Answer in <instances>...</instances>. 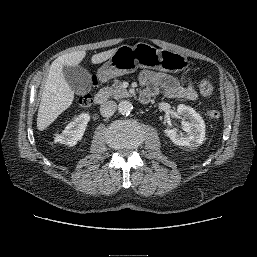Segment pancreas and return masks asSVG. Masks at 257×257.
<instances>
[{
    "label": "pancreas",
    "mask_w": 257,
    "mask_h": 257,
    "mask_svg": "<svg viewBox=\"0 0 257 257\" xmlns=\"http://www.w3.org/2000/svg\"><path fill=\"white\" fill-rule=\"evenodd\" d=\"M102 91L105 92L108 97H112L114 99L125 98L130 96L128 91L125 88H123L122 82L118 79L114 81L111 87H104Z\"/></svg>",
    "instance_id": "pancreas-1"
}]
</instances>
